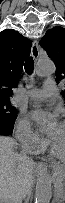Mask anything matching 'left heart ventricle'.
I'll return each instance as SVG.
<instances>
[{"mask_svg":"<svg viewBox=\"0 0 65 203\" xmlns=\"http://www.w3.org/2000/svg\"><path fill=\"white\" fill-rule=\"evenodd\" d=\"M49 138L53 147L57 152L63 153L65 151V125L64 124L54 125L49 132Z\"/></svg>","mask_w":65,"mask_h":203,"instance_id":"b2bd125f","label":"left heart ventricle"}]
</instances>
